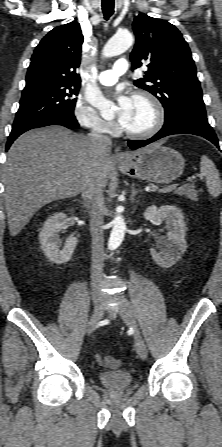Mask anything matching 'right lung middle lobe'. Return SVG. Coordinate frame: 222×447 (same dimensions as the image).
<instances>
[{"mask_svg": "<svg viewBox=\"0 0 222 447\" xmlns=\"http://www.w3.org/2000/svg\"><path fill=\"white\" fill-rule=\"evenodd\" d=\"M79 85H42L25 88L13 127L57 114H74Z\"/></svg>", "mask_w": 222, "mask_h": 447, "instance_id": "right-lung-middle-lobe-1", "label": "right lung middle lobe"}]
</instances>
